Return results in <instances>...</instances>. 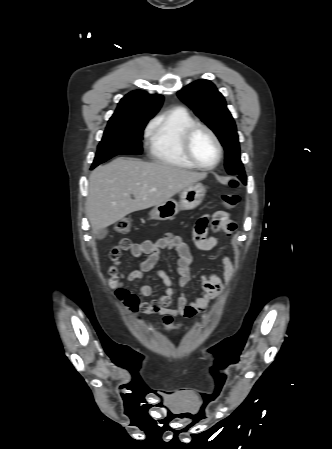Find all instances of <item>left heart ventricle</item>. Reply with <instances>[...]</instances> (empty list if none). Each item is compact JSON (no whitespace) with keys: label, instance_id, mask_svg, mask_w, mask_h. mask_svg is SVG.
I'll return each instance as SVG.
<instances>
[{"label":"left heart ventricle","instance_id":"b2bd125f","mask_svg":"<svg viewBox=\"0 0 332 449\" xmlns=\"http://www.w3.org/2000/svg\"><path fill=\"white\" fill-rule=\"evenodd\" d=\"M191 149L196 160L203 165H211L217 158V148L207 132L198 130L192 137Z\"/></svg>","mask_w":332,"mask_h":449}]
</instances>
